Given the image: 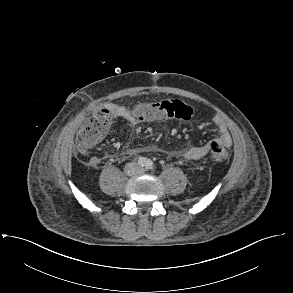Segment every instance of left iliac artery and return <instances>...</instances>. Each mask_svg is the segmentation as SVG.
Listing matches in <instances>:
<instances>
[{
    "instance_id": "left-iliac-artery-1",
    "label": "left iliac artery",
    "mask_w": 293,
    "mask_h": 293,
    "mask_svg": "<svg viewBox=\"0 0 293 293\" xmlns=\"http://www.w3.org/2000/svg\"><path fill=\"white\" fill-rule=\"evenodd\" d=\"M145 168L146 169H152L153 168V162L150 160H147L146 164H145Z\"/></svg>"
}]
</instances>
